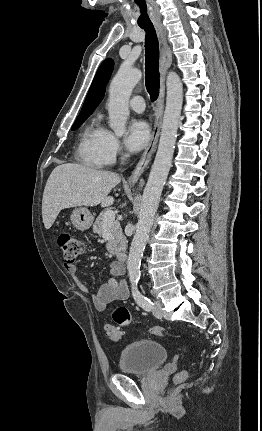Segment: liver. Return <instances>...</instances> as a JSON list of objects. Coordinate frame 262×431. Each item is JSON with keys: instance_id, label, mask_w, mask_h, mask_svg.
<instances>
[{"instance_id": "1", "label": "liver", "mask_w": 262, "mask_h": 431, "mask_svg": "<svg viewBox=\"0 0 262 431\" xmlns=\"http://www.w3.org/2000/svg\"><path fill=\"white\" fill-rule=\"evenodd\" d=\"M118 174L95 170L84 165L65 163L50 174L42 199V218L50 229L61 210L78 206H111L114 198L108 196L119 184Z\"/></svg>"}]
</instances>
